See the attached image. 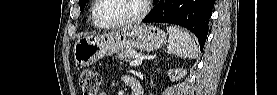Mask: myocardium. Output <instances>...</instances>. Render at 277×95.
<instances>
[{
	"instance_id": "myocardium-1",
	"label": "myocardium",
	"mask_w": 277,
	"mask_h": 95,
	"mask_svg": "<svg viewBox=\"0 0 277 95\" xmlns=\"http://www.w3.org/2000/svg\"><path fill=\"white\" fill-rule=\"evenodd\" d=\"M101 1L102 0L95 1V4L93 5V7L91 9V17H92V20L98 26H100L102 28H114V27H121V26L136 24V23L140 22L146 16V14L148 13V10H149V4H148L149 1L148 0H140L141 4H142V8L138 15H136L135 17H132V18L121 19V20H117V21L108 23V22L101 21L96 16V9L99 6V4L101 3Z\"/></svg>"
}]
</instances>
